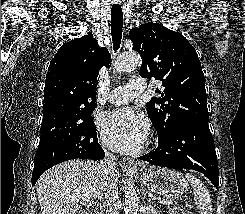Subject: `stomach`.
<instances>
[{
    "mask_svg": "<svg viewBox=\"0 0 245 214\" xmlns=\"http://www.w3.org/2000/svg\"><path fill=\"white\" fill-rule=\"evenodd\" d=\"M141 181L151 191L168 198L182 196L188 189L184 176L174 169L148 167L140 170Z\"/></svg>",
    "mask_w": 245,
    "mask_h": 214,
    "instance_id": "0dacf381",
    "label": "stomach"
}]
</instances>
